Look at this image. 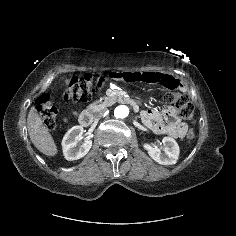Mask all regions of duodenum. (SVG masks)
Masks as SVG:
<instances>
[{
	"label": "duodenum",
	"instance_id": "1",
	"mask_svg": "<svg viewBox=\"0 0 236 236\" xmlns=\"http://www.w3.org/2000/svg\"><path fill=\"white\" fill-rule=\"evenodd\" d=\"M116 98L119 102L126 103L132 106L135 110H138V103L131 96L122 94L118 95ZM92 121H93V116L91 112L84 111L79 115V123L84 127L91 125Z\"/></svg>",
	"mask_w": 236,
	"mask_h": 236
}]
</instances>
